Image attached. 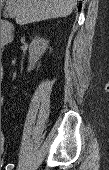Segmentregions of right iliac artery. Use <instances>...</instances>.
<instances>
[{
	"label": "right iliac artery",
	"mask_w": 109,
	"mask_h": 170,
	"mask_svg": "<svg viewBox=\"0 0 109 170\" xmlns=\"http://www.w3.org/2000/svg\"><path fill=\"white\" fill-rule=\"evenodd\" d=\"M13 168H14V164H8L5 169L12 170Z\"/></svg>",
	"instance_id": "right-iliac-artery-1"
}]
</instances>
